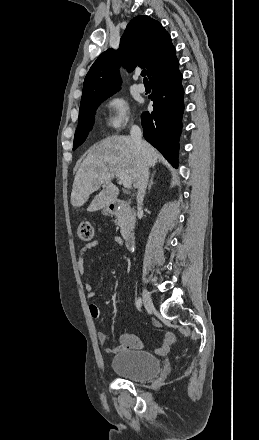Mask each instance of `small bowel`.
Returning <instances> with one entry per match:
<instances>
[{
	"label": "small bowel",
	"mask_w": 259,
	"mask_h": 440,
	"mask_svg": "<svg viewBox=\"0 0 259 440\" xmlns=\"http://www.w3.org/2000/svg\"><path fill=\"white\" fill-rule=\"evenodd\" d=\"M114 242L117 244H122V239L119 236H115L113 238ZM102 241L100 240H94L86 245H84L79 253L78 257V270L80 273L81 278L84 280V288L86 291V296L88 298H93L95 296V292L93 291V288L89 282H87L85 278V269H84V260H85V254L92 248L97 247L101 245ZM89 313L93 318H98L100 315V309L97 304L91 303L89 305ZM155 326L159 327L160 323L158 321H154ZM98 341L102 344H106L108 342V336L106 333L99 331L97 333ZM175 338L173 334L167 333L163 340L162 344L159 348L156 349V352L158 354H165L168 352L170 346L173 344ZM143 346L141 339L134 335V334H124L121 336L120 344L114 348L107 349L106 351L108 353H115L118 351H121L123 349L128 348H141Z\"/></svg>",
	"instance_id": "1"
}]
</instances>
